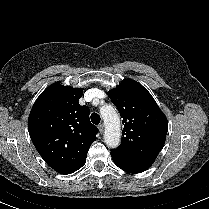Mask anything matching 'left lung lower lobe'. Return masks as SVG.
Segmentation results:
<instances>
[{"label": "left lung lower lobe", "instance_id": "1", "mask_svg": "<svg viewBox=\"0 0 209 209\" xmlns=\"http://www.w3.org/2000/svg\"><path fill=\"white\" fill-rule=\"evenodd\" d=\"M111 156H112V160L119 168L129 173L143 172L152 165V163L133 160V159H127V158H123L112 153H111Z\"/></svg>", "mask_w": 209, "mask_h": 209}]
</instances>
